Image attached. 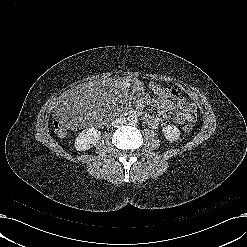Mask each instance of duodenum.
Segmentation results:
<instances>
[{
  "label": "duodenum",
  "instance_id": "410a0bca",
  "mask_svg": "<svg viewBox=\"0 0 247 247\" xmlns=\"http://www.w3.org/2000/svg\"><path fill=\"white\" fill-rule=\"evenodd\" d=\"M129 114L137 116L147 123L151 122V120H152V117L149 114H147L146 112H144L140 109H134V110L130 111Z\"/></svg>",
  "mask_w": 247,
  "mask_h": 247
}]
</instances>
